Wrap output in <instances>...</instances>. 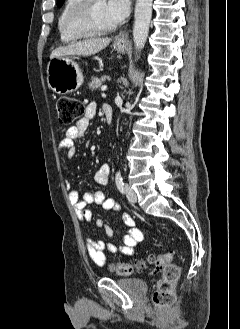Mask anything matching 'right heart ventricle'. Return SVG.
Masks as SVG:
<instances>
[{
	"label": "right heart ventricle",
	"instance_id": "1",
	"mask_svg": "<svg viewBox=\"0 0 240 329\" xmlns=\"http://www.w3.org/2000/svg\"><path fill=\"white\" fill-rule=\"evenodd\" d=\"M79 0H65V3L59 13L58 21H57V28L60 35V38L63 42L70 43L78 39L71 35L66 29V17L71 10V8L78 3Z\"/></svg>",
	"mask_w": 240,
	"mask_h": 329
}]
</instances>
